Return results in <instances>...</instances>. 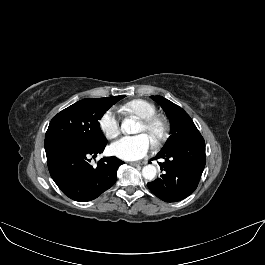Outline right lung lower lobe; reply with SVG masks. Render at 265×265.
<instances>
[{
    "mask_svg": "<svg viewBox=\"0 0 265 265\" xmlns=\"http://www.w3.org/2000/svg\"><path fill=\"white\" fill-rule=\"evenodd\" d=\"M106 144L93 145L68 136L45 137L50 175L66 196L87 202L114 185L117 169L124 162L112 156L93 165L90 159L102 153Z\"/></svg>",
    "mask_w": 265,
    "mask_h": 265,
    "instance_id": "right-lung-lower-lobe-1",
    "label": "right lung lower lobe"
}]
</instances>
